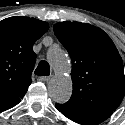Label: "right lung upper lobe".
I'll return each instance as SVG.
<instances>
[{"label": "right lung upper lobe", "instance_id": "1", "mask_svg": "<svg viewBox=\"0 0 125 125\" xmlns=\"http://www.w3.org/2000/svg\"><path fill=\"white\" fill-rule=\"evenodd\" d=\"M48 28L47 22L29 17L0 21V112L18 104L27 92L36 61L33 44Z\"/></svg>", "mask_w": 125, "mask_h": 125}]
</instances>
